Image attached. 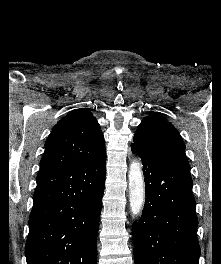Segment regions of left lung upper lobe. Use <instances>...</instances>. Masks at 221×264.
Returning a JSON list of instances; mask_svg holds the SVG:
<instances>
[{
  "label": "left lung upper lobe",
  "instance_id": "5c2ea615",
  "mask_svg": "<svg viewBox=\"0 0 221 264\" xmlns=\"http://www.w3.org/2000/svg\"><path fill=\"white\" fill-rule=\"evenodd\" d=\"M132 145L147 156L190 169L179 132L159 114L142 120Z\"/></svg>",
  "mask_w": 221,
  "mask_h": 264
}]
</instances>
